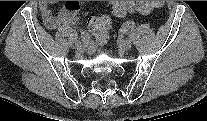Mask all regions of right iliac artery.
<instances>
[{
    "mask_svg": "<svg viewBox=\"0 0 207 121\" xmlns=\"http://www.w3.org/2000/svg\"><path fill=\"white\" fill-rule=\"evenodd\" d=\"M89 35L86 32H82L81 33V39L83 41V43L88 44L89 42Z\"/></svg>",
    "mask_w": 207,
    "mask_h": 121,
    "instance_id": "1",
    "label": "right iliac artery"
}]
</instances>
